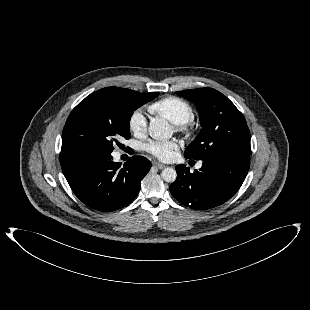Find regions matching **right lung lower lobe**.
I'll return each mask as SVG.
<instances>
[{"label": "right lung lower lobe", "mask_w": 310, "mask_h": 310, "mask_svg": "<svg viewBox=\"0 0 310 310\" xmlns=\"http://www.w3.org/2000/svg\"><path fill=\"white\" fill-rule=\"evenodd\" d=\"M111 150L72 148L61 150L63 174L74 194L87 206L111 212L131 203L151 162L133 156L123 166L113 161Z\"/></svg>", "instance_id": "obj_1"}]
</instances>
